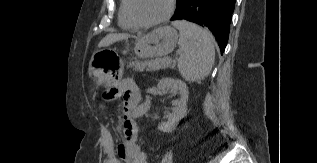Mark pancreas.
<instances>
[{
  "label": "pancreas",
  "mask_w": 317,
  "mask_h": 163,
  "mask_svg": "<svg viewBox=\"0 0 317 163\" xmlns=\"http://www.w3.org/2000/svg\"><path fill=\"white\" fill-rule=\"evenodd\" d=\"M170 62H167L166 59L156 58L154 60H145V61H132L127 67L133 68L135 71H152L159 70L170 66Z\"/></svg>",
  "instance_id": "cf45deb5"
}]
</instances>
